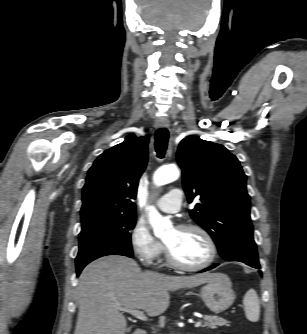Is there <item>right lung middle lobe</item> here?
<instances>
[{"mask_svg":"<svg viewBox=\"0 0 307 334\" xmlns=\"http://www.w3.org/2000/svg\"><path fill=\"white\" fill-rule=\"evenodd\" d=\"M76 268L106 255L133 256L131 233L136 216L94 214L81 217Z\"/></svg>","mask_w":307,"mask_h":334,"instance_id":"dd1d6c3e","label":"right lung middle lobe"}]
</instances>
